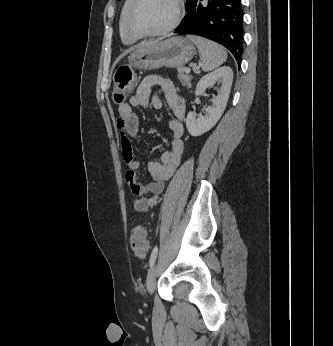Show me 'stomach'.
Listing matches in <instances>:
<instances>
[{
    "label": "stomach",
    "instance_id": "obj_1",
    "mask_svg": "<svg viewBox=\"0 0 333 346\" xmlns=\"http://www.w3.org/2000/svg\"><path fill=\"white\" fill-rule=\"evenodd\" d=\"M197 51L184 37H172L138 47L128 57L129 64L137 69L153 70L161 67L181 68Z\"/></svg>",
    "mask_w": 333,
    "mask_h": 346
}]
</instances>
